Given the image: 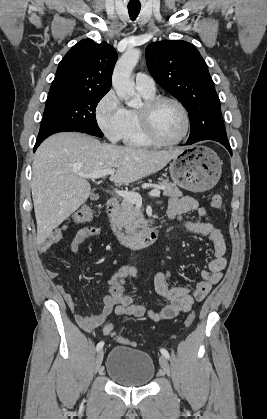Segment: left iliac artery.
Masks as SVG:
<instances>
[{
	"mask_svg": "<svg viewBox=\"0 0 267 419\" xmlns=\"http://www.w3.org/2000/svg\"><path fill=\"white\" fill-rule=\"evenodd\" d=\"M160 351H161V354H162L164 357H166L167 359H169V358H170V355H169V353H168V351H167L166 349L161 348V349H160Z\"/></svg>",
	"mask_w": 267,
	"mask_h": 419,
	"instance_id": "left-iliac-artery-1",
	"label": "left iliac artery"
}]
</instances>
